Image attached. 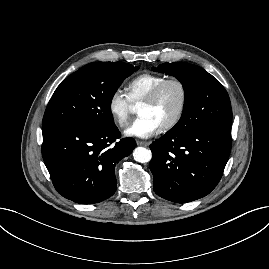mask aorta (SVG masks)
Returning <instances> with one entry per match:
<instances>
[{"label":"aorta","mask_w":269,"mask_h":269,"mask_svg":"<svg viewBox=\"0 0 269 269\" xmlns=\"http://www.w3.org/2000/svg\"><path fill=\"white\" fill-rule=\"evenodd\" d=\"M133 157L139 163H147L151 160L152 153L147 148L137 147L133 151Z\"/></svg>","instance_id":"762f6f07"}]
</instances>
